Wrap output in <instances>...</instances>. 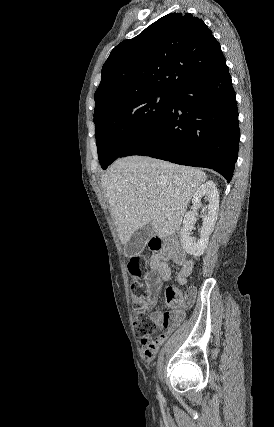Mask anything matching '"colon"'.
Instances as JSON below:
<instances>
[{
	"instance_id": "1",
	"label": "colon",
	"mask_w": 274,
	"mask_h": 427,
	"mask_svg": "<svg viewBox=\"0 0 274 427\" xmlns=\"http://www.w3.org/2000/svg\"><path fill=\"white\" fill-rule=\"evenodd\" d=\"M134 265V274L142 275L143 273L149 272V261L140 260L137 255H133L129 262L128 266ZM137 284L133 282L131 285V290L133 293V303L134 311L132 313V320L135 332L138 338H151V355H152V332H155L156 321L152 315H149L144 312V304L142 298L137 294ZM165 298L168 302H172L175 297V288L173 286H166L164 291Z\"/></svg>"
}]
</instances>
